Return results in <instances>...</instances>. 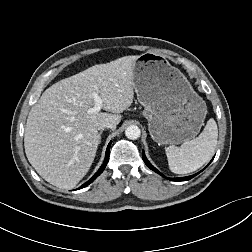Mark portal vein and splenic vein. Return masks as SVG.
I'll use <instances>...</instances> for the list:
<instances>
[{"instance_id": "obj_1", "label": "portal vein and splenic vein", "mask_w": 252, "mask_h": 252, "mask_svg": "<svg viewBox=\"0 0 252 252\" xmlns=\"http://www.w3.org/2000/svg\"><path fill=\"white\" fill-rule=\"evenodd\" d=\"M92 97L94 99L95 105H94V107L88 109V113L89 114H96L102 109L103 100L101 99V97L98 95L97 92H94L92 94Z\"/></svg>"}]
</instances>
